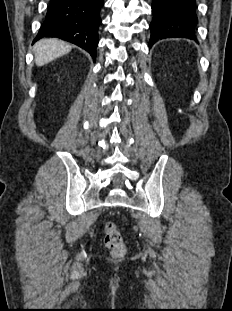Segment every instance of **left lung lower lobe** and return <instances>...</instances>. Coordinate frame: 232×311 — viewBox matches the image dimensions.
I'll return each mask as SVG.
<instances>
[{
    "label": "left lung lower lobe",
    "instance_id": "obj_1",
    "mask_svg": "<svg viewBox=\"0 0 232 311\" xmlns=\"http://www.w3.org/2000/svg\"><path fill=\"white\" fill-rule=\"evenodd\" d=\"M149 47L164 38H195L198 23L195 0H153Z\"/></svg>",
    "mask_w": 232,
    "mask_h": 311
}]
</instances>
